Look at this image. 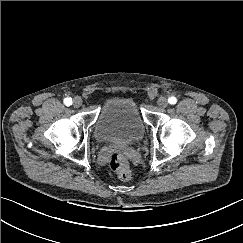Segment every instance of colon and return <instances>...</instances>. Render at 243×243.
<instances>
[{"mask_svg":"<svg viewBox=\"0 0 243 243\" xmlns=\"http://www.w3.org/2000/svg\"><path fill=\"white\" fill-rule=\"evenodd\" d=\"M108 166L120 179L128 181L132 178L129 163L121 153H111L108 160Z\"/></svg>","mask_w":243,"mask_h":243,"instance_id":"5ec220e1","label":"colon"}]
</instances>
